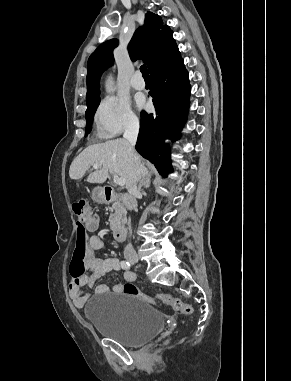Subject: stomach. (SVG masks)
Here are the masks:
<instances>
[{
    "instance_id": "stomach-1",
    "label": "stomach",
    "mask_w": 291,
    "mask_h": 381,
    "mask_svg": "<svg viewBox=\"0 0 291 381\" xmlns=\"http://www.w3.org/2000/svg\"><path fill=\"white\" fill-rule=\"evenodd\" d=\"M92 198L95 202L97 203H103L105 200H104V197L102 195V192L99 188H95L92 192Z\"/></svg>"
}]
</instances>
